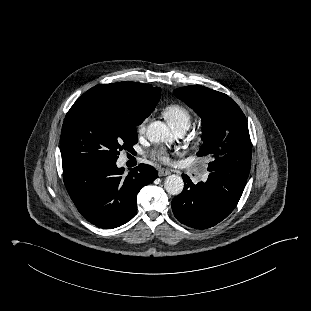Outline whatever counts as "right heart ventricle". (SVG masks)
Segmentation results:
<instances>
[{
    "label": "right heart ventricle",
    "mask_w": 311,
    "mask_h": 311,
    "mask_svg": "<svg viewBox=\"0 0 311 311\" xmlns=\"http://www.w3.org/2000/svg\"><path fill=\"white\" fill-rule=\"evenodd\" d=\"M162 114L173 130L180 127L187 129L192 120L190 110L179 103L166 105Z\"/></svg>",
    "instance_id": "obj_1"
}]
</instances>
